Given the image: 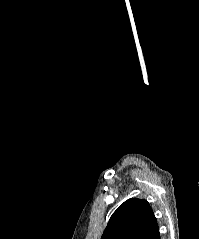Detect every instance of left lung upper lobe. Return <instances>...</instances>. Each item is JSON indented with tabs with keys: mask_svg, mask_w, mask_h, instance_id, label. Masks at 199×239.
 <instances>
[{
	"mask_svg": "<svg viewBox=\"0 0 199 239\" xmlns=\"http://www.w3.org/2000/svg\"><path fill=\"white\" fill-rule=\"evenodd\" d=\"M159 227L149 203L132 198L111 216L101 239H155Z\"/></svg>",
	"mask_w": 199,
	"mask_h": 239,
	"instance_id": "1",
	"label": "left lung upper lobe"
}]
</instances>
